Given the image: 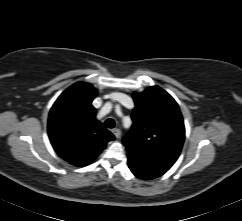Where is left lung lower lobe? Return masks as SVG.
<instances>
[{
    "label": "left lung lower lobe",
    "mask_w": 242,
    "mask_h": 221,
    "mask_svg": "<svg viewBox=\"0 0 242 221\" xmlns=\"http://www.w3.org/2000/svg\"><path fill=\"white\" fill-rule=\"evenodd\" d=\"M128 165L132 173L144 180H150L163 175L171 166L151 159L141 158L128 153Z\"/></svg>",
    "instance_id": "1"
}]
</instances>
